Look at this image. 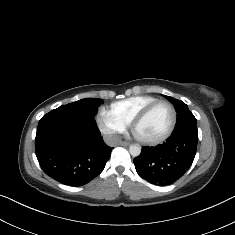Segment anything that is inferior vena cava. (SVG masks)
Here are the masks:
<instances>
[{
  "label": "inferior vena cava",
  "mask_w": 235,
  "mask_h": 235,
  "mask_svg": "<svg viewBox=\"0 0 235 235\" xmlns=\"http://www.w3.org/2000/svg\"><path fill=\"white\" fill-rule=\"evenodd\" d=\"M104 142L111 147L117 146L121 141V137L117 134L104 135Z\"/></svg>",
  "instance_id": "1"
}]
</instances>
